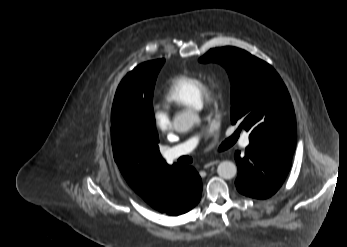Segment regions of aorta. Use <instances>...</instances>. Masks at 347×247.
<instances>
[{
    "label": "aorta",
    "mask_w": 347,
    "mask_h": 247,
    "mask_svg": "<svg viewBox=\"0 0 347 247\" xmlns=\"http://www.w3.org/2000/svg\"><path fill=\"white\" fill-rule=\"evenodd\" d=\"M199 121L197 114L187 111L178 114L173 121L175 131L183 133L189 131ZM221 178L232 179L237 173V166L231 161H222L217 168Z\"/></svg>",
    "instance_id": "762f6f07"
}]
</instances>
